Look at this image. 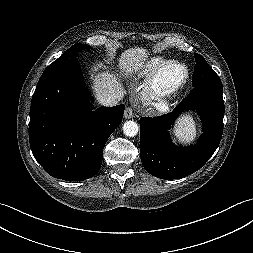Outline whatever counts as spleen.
<instances>
[{
	"instance_id": "obj_1",
	"label": "spleen",
	"mask_w": 253,
	"mask_h": 253,
	"mask_svg": "<svg viewBox=\"0 0 253 253\" xmlns=\"http://www.w3.org/2000/svg\"><path fill=\"white\" fill-rule=\"evenodd\" d=\"M174 134L182 142L187 143L193 141L196 137V127L193 119L190 116L182 118L174 130Z\"/></svg>"
}]
</instances>
